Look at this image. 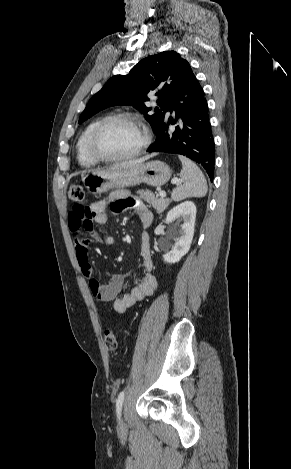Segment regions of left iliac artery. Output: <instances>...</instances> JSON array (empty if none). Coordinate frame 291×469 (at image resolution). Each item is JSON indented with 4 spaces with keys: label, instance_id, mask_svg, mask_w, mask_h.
Returning <instances> with one entry per match:
<instances>
[{
    "label": "left iliac artery",
    "instance_id": "44dca946",
    "mask_svg": "<svg viewBox=\"0 0 291 469\" xmlns=\"http://www.w3.org/2000/svg\"><path fill=\"white\" fill-rule=\"evenodd\" d=\"M124 395H125L124 391L120 392L116 401V412H117L118 418H120L121 409H122V405L124 402Z\"/></svg>",
    "mask_w": 291,
    "mask_h": 469
}]
</instances>
